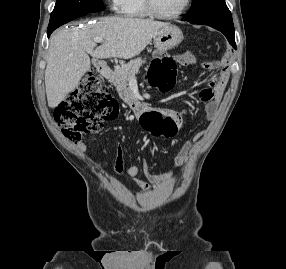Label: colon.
<instances>
[{
  "label": "colon",
  "mask_w": 286,
  "mask_h": 269,
  "mask_svg": "<svg viewBox=\"0 0 286 269\" xmlns=\"http://www.w3.org/2000/svg\"><path fill=\"white\" fill-rule=\"evenodd\" d=\"M152 57L160 60L151 64L147 80L162 91H169L175 85L176 63L166 49H153ZM117 113V101L108 92L102 79L90 72L81 81L78 90L57 106L54 116L64 136L77 143L84 135L97 132L104 122L114 119ZM148 115L141 119L142 126H147L146 134L153 131L152 137L165 138L177 132L174 121L164 116L160 109L148 108Z\"/></svg>",
  "instance_id": "obj_1"
}]
</instances>
